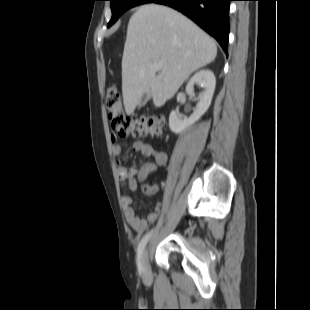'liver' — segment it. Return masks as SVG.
Masks as SVG:
<instances>
[{
    "instance_id": "6515ba94",
    "label": "liver",
    "mask_w": 310,
    "mask_h": 310,
    "mask_svg": "<svg viewBox=\"0 0 310 310\" xmlns=\"http://www.w3.org/2000/svg\"><path fill=\"white\" fill-rule=\"evenodd\" d=\"M215 41L181 13L141 6L130 18L122 57V94L131 115L143 94L163 106L196 70L214 61ZM161 63L158 74L151 65Z\"/></svg>"
}]
</instances>
